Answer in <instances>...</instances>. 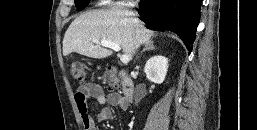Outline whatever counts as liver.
Segmentation results:
<instances>
[{
	"label": "liver",
	"mask_w": 257,
	"mask_h": 130,
	"mask_svg": "<svg viewBox=\"0 0 257 130\" xmlns=\"http://www.w3.org/2000/svg\"><path fill=\"white\" fill-rule=\"evenodd\" d=\"M153 35L131 12L115 8L94 10L78 16L70 24L63 39V55L76 52L90 58H106L112 51L94 41L109 40L132 57L139 45L152 42Z\"/></svg>",
	"instance_id": "obj_1"
}]
</instances>
